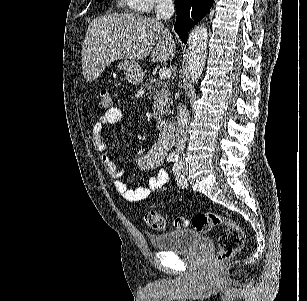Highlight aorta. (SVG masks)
I'll return each mask as SVG.
<instances>
[{"instance_id": "1", "label": "aorta", "mask_w": 307, "mask_h": 301, "mask_svg": "<svg viewBox=\"0 0 307 301\" xmlns=\"http://www.w3.org/2000/svg\"><path fill=\"white\" fill-rule=\"evenodd\" d=\"M208 30L204 24H198L188 36V72L190 82H198L207 58Z\"/></svg>"}]
</instances>
